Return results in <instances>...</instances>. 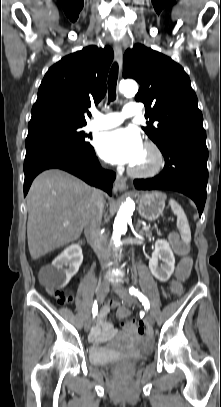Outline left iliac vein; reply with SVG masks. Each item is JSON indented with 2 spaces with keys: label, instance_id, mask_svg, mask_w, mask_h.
Listing matches in <instances>:
<instances>
[{
  "label": "left iliac vein",
  "instance_id": "left-iliac-vein-1",
  "mask_svg": "<svg viewBox=\"0 0 221 407\" xmlns=\"http://www.w3.org/2000/svg\"><path fill=\"white\" fill-rule=\"evenodd\" d=\"M113 290L117 293V295L127 304L134 305L137 304L136 299L120 284L115 283L113 285ZM145 320L148 326L152 327L154 325V318L152 314L146 311Z\"/></svg>",
  "mask_w": 221,
  "mask_h": 407
}]
</instances>
